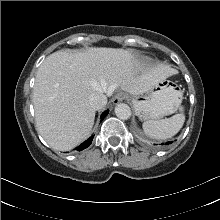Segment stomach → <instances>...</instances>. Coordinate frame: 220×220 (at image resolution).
I'll list each match as a JSON object with an SVG mask.
<instances>
[{
	"instance_id": "obj_1",
	"label": "stomach",
	"mask_w": 220,
	"mask_h": 220,
	"mask_svg": "<svg viewBox=\"0 0 220 220\" xmlns=\"http://www.w3.org/2000/svg\"><path fill=\"white\" fill-rule=\"evenodd\" d=\"M143 98V99H142ZM182 93L170 80L156 83L143 97H134L132 102L141 120H157L177 111Z\"/></svg>"
}]
</instances>
